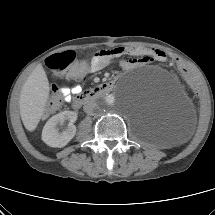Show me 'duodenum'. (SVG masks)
<instances>
[{"instance_id": "obj_1", "label": "duodenum", "mask_w": 215, "mask_h": 215, "mask_svg": "<svg viewBox=\"0 0 215 215\" xmlns=\"http://www.w3.org/2000/svg\"><path fill=\"white\" fill-rule=\"evenodd\" d=\"M115 87V82L109 81L105 83H101L94 88H91L78 97L73 102V107L75 109H79L82 106H85L92 101H94L97 97L110 93Z\"/></svg>"}]
</instances>
